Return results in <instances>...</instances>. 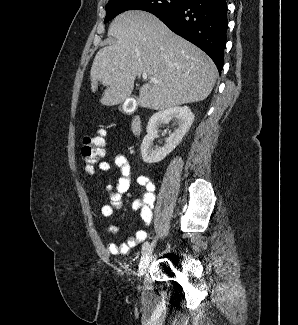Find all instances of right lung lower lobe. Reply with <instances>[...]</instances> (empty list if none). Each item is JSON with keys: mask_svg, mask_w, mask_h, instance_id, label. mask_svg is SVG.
<instances>
[{"mask_svg": "<svg viewBox=\"0 0 298 325\" xmlns=\"http://www.w3.org/2000/svg\"><path fill=\"white\" fill-rule=\"evenodd\" d=\"M155 15L173 32L206 52L221 72L228 25L225 0H187L177 9Z\"/></svg>", "mask_w": 298, "mask_h": 325, "instance_id": "1", "label": "right lung lower lobe"}]
</instances>
